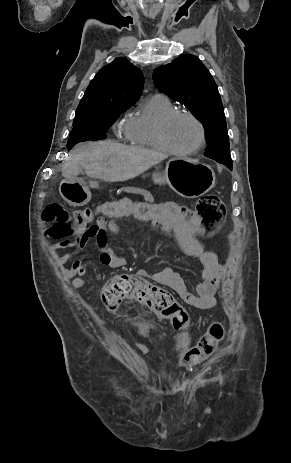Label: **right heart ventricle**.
Returning <instances> with one entry per match:
<instances>
[{
  "instance_id": "1",
  "label": "right heart ventricle",
  "mask_w": 291,
  "mask_h": 463,
  "mask_svg": "<svg viewBox=\"0 0 291 463\" xmlns=\"http://www.w3.org/2000/svg\"><path fill=\"white\" fill-rule=\"evenodd\" d=\"M175 110L170 100L162 94L145 99L128 120V140L131 144L162 150L156 139L155 129L159 120Z\"/></svg>"
}]
</instances>
